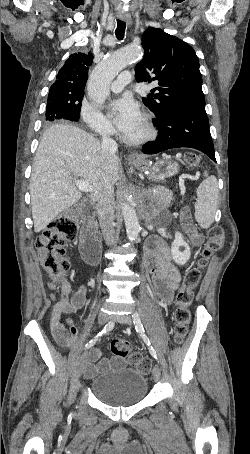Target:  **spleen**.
<instances>
[{
  "instance_id": "obj_1",
  "label": "spleen",
  "mask_w": 250,
  "mask_h": 454,
  "mask_svg": "<svg viewBox=\"0 0 250 454\" xmlns=\"http://www.w3.org/2000/svg\"><path fill=\"white\" fill-rule=\"evenodd\" d=\"M205 179L196 190L195 219L202 228H209L214 222L218 208V182L214 176L204 173Z\"/></svg>"
}]
</instances>
